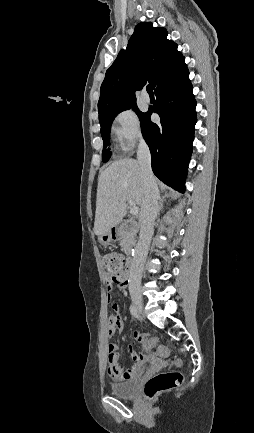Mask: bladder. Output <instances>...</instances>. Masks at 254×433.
<instances>
[{
    "label": "bladder",
    "instance_id": "31cf9c89",
    "mask_svg": "<svg viewBox=\"0 0 254 433\" xmlns=\"http://www.w3.org/2000/svg\"><path fill=\"white\" fill-rule=\"evenodd\" d=\"M139 379L137 376L123 382H115L109 385L110 392L120 398H131L135 396L138 389Z\"/></svg>",
    "mask_w": 254,
    "mask_h": 433
}]
</instances>
